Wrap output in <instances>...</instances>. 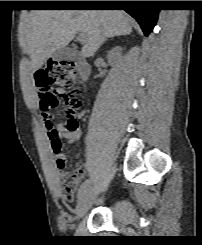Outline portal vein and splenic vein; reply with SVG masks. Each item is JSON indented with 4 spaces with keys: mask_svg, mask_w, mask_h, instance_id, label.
Instances as JSON below:
<instances>
[{
    "mask_svg": "<svg viewBox=\"0 0 202 245\" xmlns=\"http://www.w3.org/2000/svg\"><path fill=\"white\" fill-rule=\"evenodd\" d=\"M78 40L81 42V43H85L86 41V36L84 33H80L79 36H78Z\"/></svg>",
    "mask_w": 202,
    "mask_h": 245,
    "instance_id": "portal-vein-and-splenic-vein-1",
    "label": "portal vein and splenic vein"
}]
</instances>
